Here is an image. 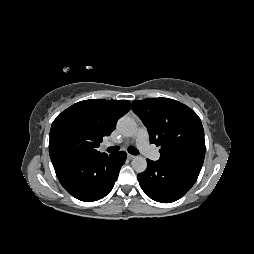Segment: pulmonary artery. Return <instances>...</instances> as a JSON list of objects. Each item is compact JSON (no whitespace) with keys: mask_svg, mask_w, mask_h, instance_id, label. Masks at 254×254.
I'll use <instances>...</instances> for the list:
<instances>
[{"mask_svg":"<svg viewBox=\"0 0 254 254\" xmlns=\"http://www.w3.org/2000/svg\"><path fill=\"white\" fill-rule=\"evenodd\" d=\"M134 141L141 152H143L151 160H158L160 154L148 142V132L146 128L140 127L134 137ZM109 145V144H107Z\"/></svg>","mask_w":254,"mask_h":254,"instance_id":"obj_1","label":"pulmonary artery"}]
</instances>
